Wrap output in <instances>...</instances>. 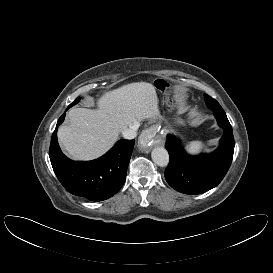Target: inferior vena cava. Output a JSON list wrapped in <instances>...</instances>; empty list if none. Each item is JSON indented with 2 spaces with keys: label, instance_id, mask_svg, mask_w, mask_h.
I'll return each instance as SVG.
<instances>
[{
  "label": "inferior vena cava",
  "instance_id": "602c4592",
  "mask_svg": "<svg viewBox=\"0 0 273 273\" xmlns=\"http://www.w3.org/2000/svg\"><path fill=\"white\" fill-rule=\"evenodd\" d=\"M139 123H134L131 127L122 131V135L125 139H134L137 135V129L139 128Z\"/></svg>",
  "mask_w": 273,
  "mask_h": 273
}]
</instances>
